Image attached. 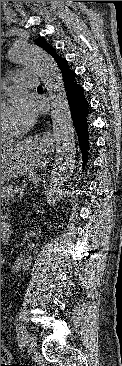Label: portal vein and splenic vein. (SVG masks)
<instances>
[{
    "label": "portal vein and splenic vein",
    "mask_w": 122,
    "mask_h": 366,
    "mask_svg": "<svg viewBox=\"0 0 122 366\" xmlns=\"http://www.w3.org/2000/svg\"><path fill=\"white\" fill-rule=\"evenodd\" d=\"M23 191V190H22ZM22 191H19V190H17L16 192H18V194H20V197L22 196Z\"/></svg>",
    "instance_id": "portal-vein-and-splenic-vein-1"
}]
</instances>
